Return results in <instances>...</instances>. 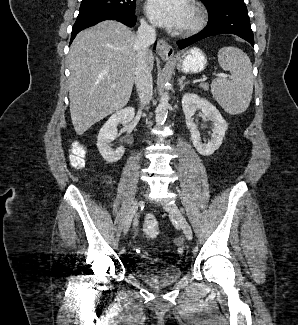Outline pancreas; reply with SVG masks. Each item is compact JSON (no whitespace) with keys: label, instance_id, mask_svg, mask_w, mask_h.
<instances>
[{"label":"pancreas","instance_id":"cf45deb5","mask_svg":"<svg viewBox=\"0 0 298 325\" xmlns=\"http://www.w3.org/2000/svg\"><path fill=\"white\" fill-rule=\"evenodd\" d=\"M199 86H201V88H203V90H209V82H201V84H199Z\"/></svg>","mask_w":298,"mask_h":325}]
</instances>
